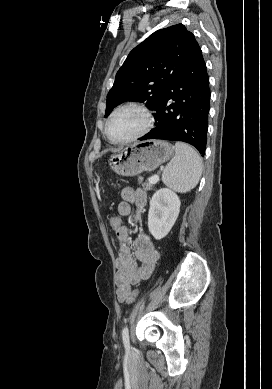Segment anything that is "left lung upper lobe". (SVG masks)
<instances>
[{
	"label": "left lung upper lobe",
	"instance_id": "left-lung-upper-lobe-1",
	"mask_svg": "<svg viewBox=\"0 0 272 389\" xmlns=\"http://www.w3.org/2000/svg\"><path fill=\"white\" fill-rule=\"evenodd\" d=\"M200 50L194 35L182 24L158 30L136 46L118 70L107 95L105 117L125 101H146L155 109L167 86Z\"/></svg>",
	"mask_w": 272,
	"mask_h": 389
}]
</instances>
